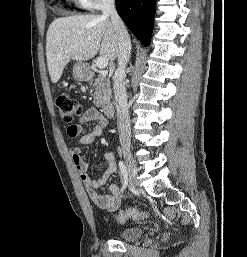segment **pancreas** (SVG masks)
Here are the masks:
<instances>
[{
  "mask_svg": "<svg viewBox=\"0 0 247 257\" xmlns=\"http://www.w3.org/2000/svg\"><path fill=\"white\" fill-rule=\"evenodd\" d=\"M93 102L96 107L106 108L110 103V97L112 94L110 87V80L107 75L100 73L95 79L94 84Z\"/></svg>",
  "mask_w": 247,
  "mask_h": 257,
  "instance_id": "cf45deb5",
  "label": "pancreas"
}]
</instances>
